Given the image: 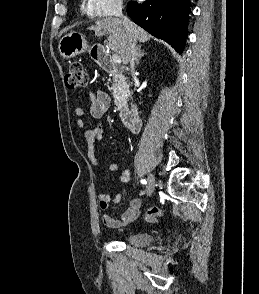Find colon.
<instances>
[{
    "label": "colon",
    "instance_id": "colon-1",
    "mask_svg": "<svg viewBox=\"0 0 259 294\" xmlns=\"http://www.w3.org/2000/svg\"><path fill=\"white\" fill-rule=\"evenodd\" d=\"M87 80L83 65L80 62H72L65 75L66 87L69 89L82 88L86 86ZM165 213L166 209L163 207H151L147 210L145 219L149 223H156Z\"/></svg>",
    "mask_w": 259,
    "mask_h": 294
}]
</instances>
